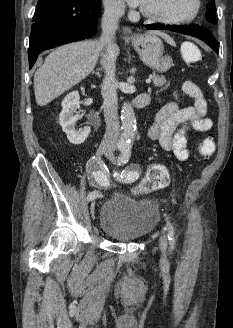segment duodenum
Here are the masks:
<instances>
[{
    "label": "duodenum",
    "mask_w": 233,
    "mask_h": 328,
    "mask_svg": "<svg viewBox=\"0 0 233 328\" xmlns=\"http://www.w3.org/2000/svg\"><path fill=\"white\" fill-rule=\"evenodd\" d=\"M150 103V96L146 93L141 94L137 96L133 101H132V106L136 109H142L148 106Z\"/></svg>",
    "instance_id": "410a0bca"
}]
</instances>
